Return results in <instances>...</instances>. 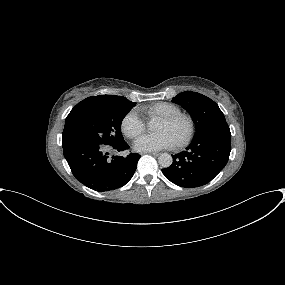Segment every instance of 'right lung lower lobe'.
<instances>
[{"label":"right lung lower lobe","instance_id":"right-lung-lower-lobe-1","mask_svg":"<svg viewBox=\"0 0 285 285\" xmlns=\"http://www.w3.org/2000/svg\"><path fill=\"white\" fill-rule=\"evenodd\" d=\"M123 141L112 146L76 143L63 145V154L73 175L85 186L100 192L124 186L133 176L139 154L109 156L108 151L128 149Z\"/></svg>","mask_w":285,"mask_h":285}]
</instances>
